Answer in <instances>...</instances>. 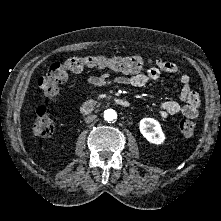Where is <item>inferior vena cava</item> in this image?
Returning a JSON list of instances; mask_svg holds the SVG:
<instances>
[{
    "label": "inferior vena cava",
    "instance_id": "602c4592",
    "mask_svg": "<svg viewBox=\"0 0 221 221\" xmlns=\"http://www.w3.org/2000/svg\"><path fill=\"white\" fill-rule=\"evenodd\" d=\"M96 119V115H89L85 118L86 123H91Z\"/></svg>",
    "mask_w": 221,
    "mask_h": 221
}]
</instances>
